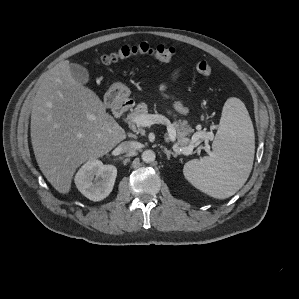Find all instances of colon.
<instances>
[{"mask_svg": "<svg viewBox=\"0 0 299 299\" xmlns=\"http://www.w3.org/2000/svg\"><path fill=\"white\" fill-rule=\"evenodd\" d=\"M174 55L175 49L173 47L165 45L151 46L142 42L137 45L123 46L115 52L105 54L100 57L99 63L101 65H111L136 56H150L162 62H169ZM195 69L203 76H209L213 71L211 64L206 60H198L195 63Z\"/></svg>", "mask_w": 299, "mask_h": 299, "instance_id": "obj_1", "label": "colon"}]
</instances>
